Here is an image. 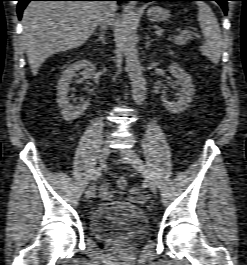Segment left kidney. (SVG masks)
I'll list each match as a JSON object with an SVG mask.
<instances>
[{
	"label": "left kidney",
	"instance_id": "1",
	"mask_svg": "<svg viewBox=\"0 0 247 265\" xmlns=\"http://www.w3.org/2000/svg\"><path fill=\"white\" fill-rule=\"evenodd\" d=\"M169 72L178 80L179 98L170 101L166 95H162V102L170 113L180 114L184 112L193 99L195 89L191 77L175 62L168 67Z\"/></svg>",
	"mask_w": 247,
	"mask_h": 265
}]
</instances>
